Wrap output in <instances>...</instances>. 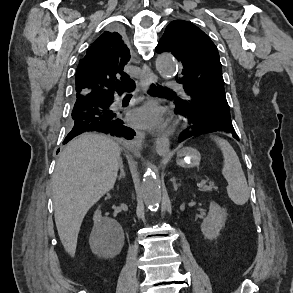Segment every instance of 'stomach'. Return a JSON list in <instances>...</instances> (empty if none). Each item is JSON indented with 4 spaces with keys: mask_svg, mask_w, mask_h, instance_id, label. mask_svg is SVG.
Listing matches in <instances>:
<instances>
[{
    "mask_svg": "<svg viewBox=\"0 0 293 293\" xmlns=\"http://www.w3.org/2000/svg\"><path fill=\"white\" fill-rule=\"evenodd\" d=\"M201 155L198 150L192 147H184L177 152L176 163L183 168L199 166Z\"/></svg>",
    "mask_w": 293,
    "mask_h": 293,
    "instance_id": "stomach-1",
    "label": "stomach"
}]
</instances>
